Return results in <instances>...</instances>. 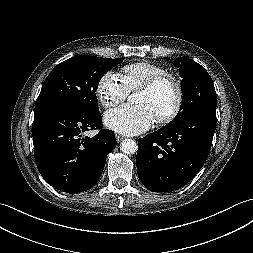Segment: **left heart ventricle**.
Returning a JSON list of instances; mask_svg holds the SVG:
<instances>
[{
	"mask_svg": "<svg viewBox=\"0 0 253 253\" xmlns=\"http://www.w3.org/2000/svg\"><path fill=\"white\" fill-rule=\"evenodd\" d=\"M136 102L149 106L157 118L170 110L174 103V93L169 86L164 85L154 94L139 92Z\"/></svg>",
	"mask_w": 253,
	"mask_h": 253,
	"instance_id": "obj_1",
	"label": "left heart ventricle"
}]
</instances>
